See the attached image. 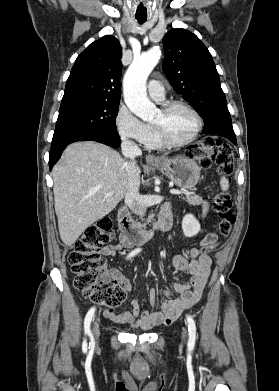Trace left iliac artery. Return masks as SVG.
I'll return each mask as SVG.
<instances>
[{
    "mask_svg": "<svg viewBox=\"0 0 279 391\" xmlns=\"http://www.w3.org/2000/svg\"><path fill=\"white\" fill-rule=\"evenodd\" d=\"M186 319H187L188 331H189L188 347L190 349H193L196 340V325H195V321L191 316H187Z\"/></svg>",
    "mask_w": 279,
    "mask_h": 391,
    "instance_id": "1",
    "label": "left iliac artery"
}]
</instances>
